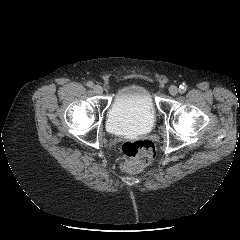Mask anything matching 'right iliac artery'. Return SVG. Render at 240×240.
I'll list each match as a JSON object with an SVG mask.
<instances>
[{"instance_id": "1", "label": "right iliac artery", "mask_w": 240, "mask_h": 240, "mask_svg": "<svg viewBox=\"0 0 240 240\" xmlns=\"http://www.w3.org/2000/svg\"><path fill=\"white\" fill-rule=\"evenodd\" d=\"M87 86H88L89 88H92V87H93V83H92V82H87Z\"/></svg>"}]
</instances>
